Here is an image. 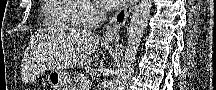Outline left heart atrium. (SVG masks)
<instances>
[{"label": "left heart atrium", "instance_id": "39dd6f15", "mask_svg": "<svg viewBox=\"0 0 216 90\" xmlns=\"http://www.w3.org/2000/svg\"><path fill=\"white\" fill-rule=\"evenodd\" d=\"M101 10H116V7H122L124 0H96Z\"/></svg>", "mask_w": 216, "mask_h": 90}]
</instances>
